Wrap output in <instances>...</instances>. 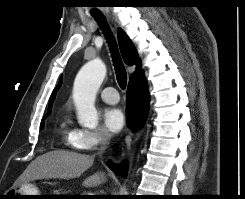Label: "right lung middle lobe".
<instances>
[{
	"instance_id": "right-lung-middle-lobe-1",
	"label": "right lung middle lobe",
	"mask_w": 245,
	"mask_h": 199,
	"mask_svg": "<svg viewBox=\"0 0 245 199\" xmlns=\"http://www.w3.org/2000/svg\"><path fill=\"white\" fill-rule=\"evenodd\" d=\"M49 115H50V114H49ZM49 115L45 116V117L42 119V121H41V127L43 126L44 120H45Z\"/></svg>"
}]
</instances>
